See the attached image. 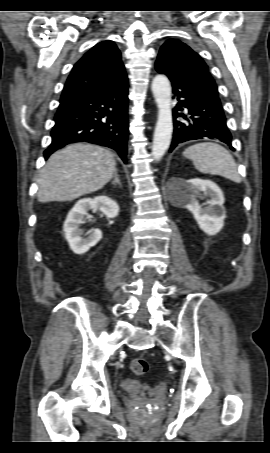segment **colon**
Here are the masks:
<instances>
[{
    "mask_svg": "<svg viewBox=\"0 0 270 453\" xmlns=\"http://www.w3.org/2000/svg\"><path fill=\"white\" fill-rule=\"evenodd\" d=\"M131 369L136 375H144L148 372L149 364L144 358H135L131 362Z\"/></svg>",
    "mask_w": 270,
    "mask_h": 453,
    "instance_id": "5ec220e1",
    "label": "colon"
}]
</instances>
